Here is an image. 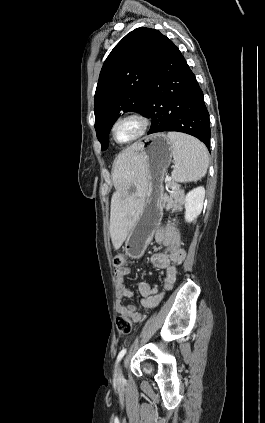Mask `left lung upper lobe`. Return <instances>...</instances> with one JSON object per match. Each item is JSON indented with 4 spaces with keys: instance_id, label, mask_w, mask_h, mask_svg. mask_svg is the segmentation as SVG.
Segmentation results:
<instances>
[{
    "instance_id": "5c2ea615",
    "label": "left lung upper lobe",
    "mask_w": 265,
    "mask_h": 423,
    "mask_svg": "<svg viewBox=\"0 0 265 423\" xmlns=\"http://www.w3.org/2000/svg\"><path fill=\"white\" fill-rule=\"evenodd\" d=\"M166 36L140 27L129 32L111 51L95 92V129L102 150L122 111L142 113L144 95Z\"/></svg>"
}]
</instances>
